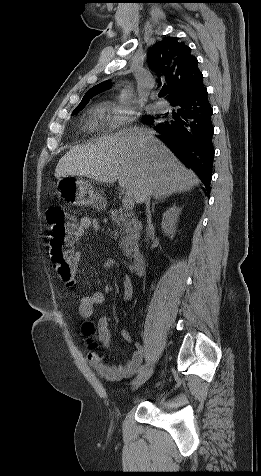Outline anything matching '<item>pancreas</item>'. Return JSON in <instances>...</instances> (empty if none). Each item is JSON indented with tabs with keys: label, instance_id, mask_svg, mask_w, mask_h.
I'll list each match as a JSON object with an SVG mask.
<instances>
[{
	"label": "pancreas",
	"instance_id": "cf45deb5",
	"mask_svg": "<svg viewBox=\"0 0 261 476\" xmlns=\"http://www.w3.org/2000/svg\"><path fill=\"white\" fill-rule=\"evenodd\" d=\"M109 214L110 219L117 225L119 234L121 235L119 246L123 254L129 257L137 248L140 231L142 230L141 222L138 221L134 215L123 210L111 209Z\"/></svg>",
	"mask_w": 261,
	"mask_h": 476
}]
</instances>
